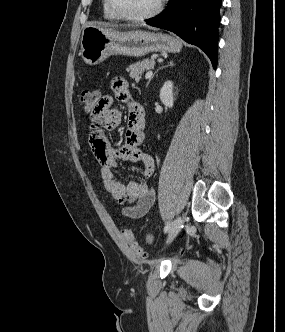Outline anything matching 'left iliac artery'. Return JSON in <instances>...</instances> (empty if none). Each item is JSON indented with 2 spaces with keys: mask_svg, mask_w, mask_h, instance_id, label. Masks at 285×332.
I'll return each instance as SVG.
<instances>
[{
  "mask_svg": "<svg viewBox=\"0 0 285 332\" xmlns=\"http://www.w3.org/2000/svg\"><path fill=\"white\" fill-rule=\"evenodd\" d=\"M170 227H171V223L167 222L165 227H164V233H167L170 230Z\"/></svg>",
  "mask_w": 285,
  "mask_h": 332,
  "instance_id": "1",
  "label": "left iliac artery"
}]
</instances>
